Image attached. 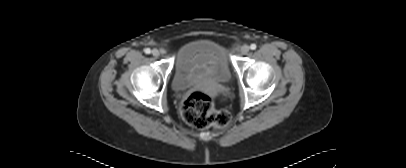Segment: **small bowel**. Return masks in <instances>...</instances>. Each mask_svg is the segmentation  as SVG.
<instances>
[{
    "instance_id": "obj_1",
    "label": "small bowel",
    "mask_w": 406,
    "mask_h": 168,
    "mask_svg": "<svg viewBox=\"0 0 406 168\" xmlns=\"http://www.w3.org/2000/svg\"><path fill=\"white\" fill-rule=\"evenodd\" d=\"M196 62L197 64L203 65L204 60L203 58H197Z\"/></svg>"
}]
</instances>
